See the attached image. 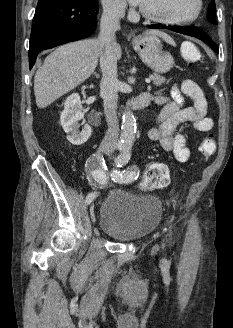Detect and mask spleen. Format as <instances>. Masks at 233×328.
<instances>
[{"label":"spleen","instance_id":"spleen-1","mask_svg":"<svg viewBox=\"0 0 233 328\" xmlns=\"http://www.w3.org/2000/svg\"><path fill=\"white\" fill-rule=\"evenodd\" d=\"M191 47H192V49H194V51H196L193 45H191Z\"/></svg>","mask_w":233,"mask_h":328}]
</instances>
